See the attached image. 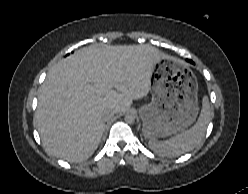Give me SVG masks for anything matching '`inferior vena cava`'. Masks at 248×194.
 Masks as SVG:
<instances>
[{
	"mask_svg": "<svg viewBox=\"0 0 248 194\" xmlns=\"http://www.w3.org/2000/svg\"><path fill=\"white\" fill-rule=\"evenodd\" d=\"M114 114H115V112H113V111L108 112V113L106 114V116H105V121H108V120L112 119L113 116H114Z\"/></svg>",
	"mask_w": 248,
	"mask_h": 194,
	"instance_id": "602c4592",
	"label": "inferior vena cava"
}]
</instances>
